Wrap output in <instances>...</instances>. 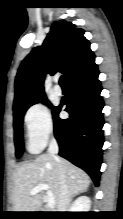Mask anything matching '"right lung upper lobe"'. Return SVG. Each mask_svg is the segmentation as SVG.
Wrapping results in <instances>:
<instances>
[{"instance_id":"obj_1","label":"right lung upper lobe","mask_w":123,"mask_h":219,"mask_svg":"<svg viewBox=\"0 0 123 219\" xmlns=\"http://www.w3.org/2000/svg\"><path fill=\"white\" fill-rule=\"evenodd\" d=\"M83 35L84 31L71 22L53 23L43 45L34 48L20 65L15 79L13 109L45 95L47 73L59 70L68 79L95 58Z\"/></svg>"}]
</instances>
